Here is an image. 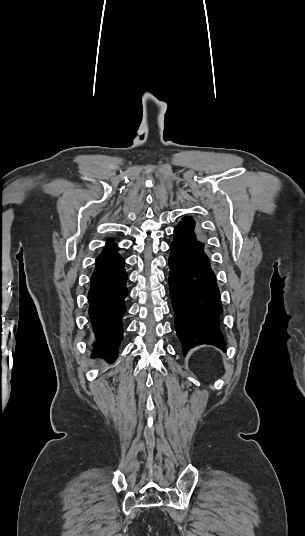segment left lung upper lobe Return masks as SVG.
<instances>
[{
	"label": "left lung upper lobe",
	"mask_w": 305,
	"mask_h": 536,
	"mask_svg": "<svg viewBox=\"0 0 305 536\" xmlns=\"http://www.w3.org/2000/svg\"><path fill=\"white\" fill-rule=\"evenodd\" d=\"M194 226H195L194 220L189 217L184 218L183 221L177 225V227L188 229L191 231H193Z\"/></svg>",
	"instance_id": "5c2ea615"
}]
</instances>
